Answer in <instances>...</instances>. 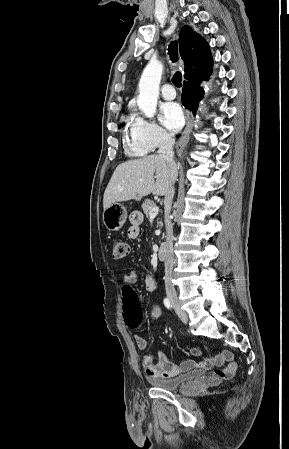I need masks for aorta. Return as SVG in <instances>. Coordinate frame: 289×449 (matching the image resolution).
Returning <instances> with one entry per match:
<instances>
[{
	"mask_svg": "<svg viewBox=\"0 0 289 449\" xmlns=\"http://www.w3.org/2000/svg\"><path fill=\"white\" fill-rule=\"evenodd\" d=\"M162 71V63L156 59H151L143 70L139 81L137 104L148 118L153 117L156 112Z\"/></svg>",
	"mask_w": 289,
	"mask_h": 449,
	"instance_id": "762f6f07",
	"label": "aorta"
}]
</instances>
